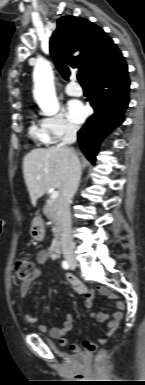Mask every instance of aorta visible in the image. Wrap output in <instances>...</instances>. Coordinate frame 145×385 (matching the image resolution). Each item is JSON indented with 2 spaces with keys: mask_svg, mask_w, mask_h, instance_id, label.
<instances>
[{
  "mask_svg": "<svg viewBox=\"0 0 145 385\" xmlns=\"http://www.w3.org/2000/svg\"><path fill=\"white\" fill-rule=\"evenodd\" d=\"M34 98L45 115L58 113L59 103L56 98L54 76L47 60L38 61L33 72Z\"/></svg>",
  "mask_w": 145,
  "mask_h": 385,
  "instance_id": "1",
  "label": "aorta"
}]
</instances>
